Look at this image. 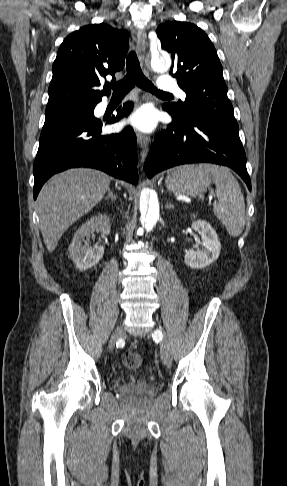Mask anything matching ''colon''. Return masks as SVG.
<instances>
[{
    "instance_id": "obj_1",
    "label": "colon",
    "mask_w": 287,
    "mask_h": 486,
    "mask_svg": "<svg viewBox=\"0 0 287 486\" xmlns=\"http://www.w3.org/2000/svg\"><path fill=\"white\" fill-rule=\"evenodd\" d=\"M122 360L124 366L131 370L137 369L142 363V358L137 352L125 353Z\"/></svg>"
}]
</instances>
